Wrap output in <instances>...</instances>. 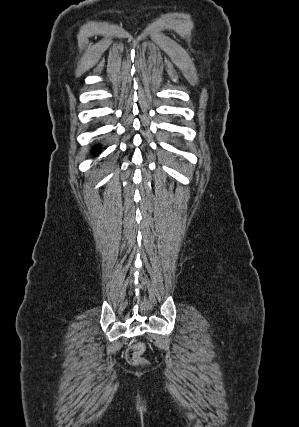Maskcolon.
Masks as SVG:
<instances>
[{"label":"colon","instance_id":"colon-1","mask_svg":"<svg viewBox=\"0 0 299 427\" xmlns=\"http://www.w3.org/2000/svg\"><path fill=\"white\" fill-rule=\"evenodd\" d=\"M145 351V345L143 343H137L130 346L126 351V360L133 366H141L146 363L143 353Z\"/></svg>","mask_w":299,"mask_h":427}]
</instances>
